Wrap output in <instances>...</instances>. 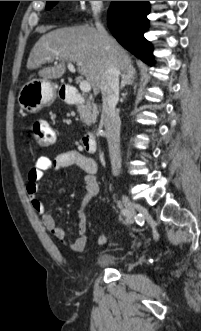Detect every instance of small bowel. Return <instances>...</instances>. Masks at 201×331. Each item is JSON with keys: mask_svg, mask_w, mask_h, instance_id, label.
<instances>
[{"mask_svg": "<svg viewBox=\"0 0 201 331\" xmlns=\"http://www.w3.org/2000/svg\"><path fill=\"white\" fill-rule=\"evenodd\" d=\"M70 166H77L84 172L83 180L85 183L86 193L81 201L79 209L76 212V216L78 218L76 232L77 236L74 242L68 244V247L72 251L81 252L84 250L86 245L87 218L85 210L89 202L99 193V185L96 178V162L92 158L76 150L60 153L53 159H50L47 156H39L28 171L26 191L32 207L39 215H41L44 227L52 233L57 240L65 243V230L56 225L53 216L46 211L45 204L38 196V182L47 171L54 170L58 174H63ZM105 241L106 237L104 235H100L97 238V244L99 245L104 244Z\"/></svg>", "mask_w": 201, "mask_h": 331, "instance_id": "small-bowel-1", "label": "small bowel"}]
</instances>
